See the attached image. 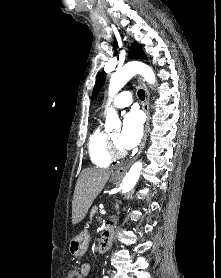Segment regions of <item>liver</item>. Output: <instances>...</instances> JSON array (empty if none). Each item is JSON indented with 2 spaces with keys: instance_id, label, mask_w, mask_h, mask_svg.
<instances>
[{
  "instance_id": "obj_1",
  "label": "liver",
  "mask_w": 221,
  "mask_h": 278,
  "mask_svg": "<svg viewBox=\"0 0 221 278\" xmlns=\"http://www.w3.org/2000/svg\"><path fill=\"white\" fill-rule=\"evenodd\" d=\"M112 171L107 169L86 168L82 170L75 186L72 201V223L81 222L93 201L102 191Z\"/></svg>"
}]
</instances>
